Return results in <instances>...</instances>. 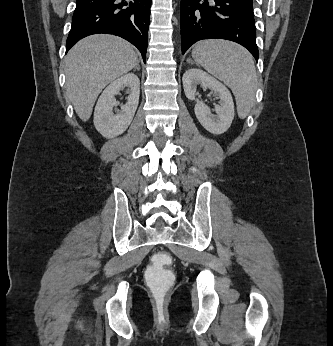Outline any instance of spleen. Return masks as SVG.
<instances>
[{
	"mask_svg": "<svg viewBox=\"0 0 333 346\" xmlns=\"http://www.w3.org/2000/svg\"><path fill=\"white\" fill-rule=\"evenodd\" d=\"M192 57L232 90L238 116L244 119L255 102L257 89V74L252 55L236 43L211 39L197 43L192 50Z\"/></svg>",
	"mask_w": 333,
	"mask_h": 346,
	"instance_id": "spleen-1",
	"label": "spleen"
}]
</instances>
